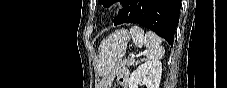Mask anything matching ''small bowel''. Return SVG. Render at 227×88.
<instances>
[{"instance_id": "obj_1", "label": "small bowel", "mask_w": 227, "mask_h": 88, "mask_svg": "<svg viewBox=\"0 0 227 88\" xmlns=\"http://www.w3.org/2000/svg\"><path fill=\"white\" fill-rule=\"evenodd\" d=\"M117 76V81L120 86L127 87L129 81V70L122 65H117L112 74L106 76L102 81L101 85L103 88H109L113 81V77Z\"/></svg>"}]
</instances>
